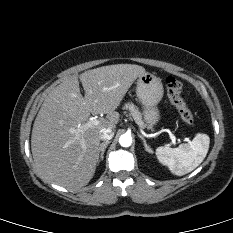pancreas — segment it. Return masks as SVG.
I'll list each match as a JSON object with an SVG mask.
<instances>
[{"mask_svg":"<svg viewBox=\"0 0 233 233\" xmlns=\"http://www.w3.org/2000/svg\"><path fill=\"white\" fill-rule=\"evenodd\" d=\"M123 108L129 111V114L133 117V119L138 125L142 127L146 126L142 120V115L137 106H135L132 103H126Z\"/></svg>","mask_w":233,"mask_h":233,"instance_id":"1","label":"pancreas"}]
</instances>
